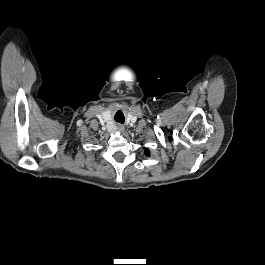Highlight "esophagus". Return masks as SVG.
<instances>
[{"label":"esophagus","mask_w":265,"mask_h":265,"mask_svg":"<svg viewBox=\"0 0 265 265\" xmlns=\"http://www.w3.org/2000/svg\"><path fill=\"white\" fill-rule=\"evenodd\" d=\"M118 128H119L120 130H122V129H123V127H122L121 125H119V126H118Z\"/></svg>","instance_id":"esophagus-1"}]
</instances>
